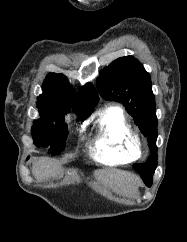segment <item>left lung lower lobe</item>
I'll return each instance as SVG.
<instances>
[{"label":"left lung lower lobe","instance_id":"1","mask_svg":"<svg viewBox=\"0 0 187 242\" xmlns=\"http://www.w3.org/2000/svg\"><path fill=\"white\" fill-rule=\"evenodd\" d=\"M143 180L148 187L152 185V177H144Z\"/></svg>","mask_w":187,"mask_h":242}]
</instances>
